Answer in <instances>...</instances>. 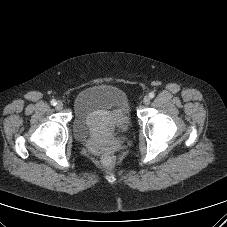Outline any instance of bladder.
I'll return each mask as SVG.
<instances>
[{
	"instance_id": "bladder-1",
	"label": "bladder",
	"mask_w": 227,
	"mask_h": 227,
	"mask_svg": "<svg viewBox=\"0 0 227 227\" xmlns=\"http://www.w3.org/2000/svg\"><path fill=\"white\" fill-rule=\"evenodd\" d=\"M109 119H116L114 132L130 131L132 120L126 94L111 85H96L80 91L74 100L73 134L84 140L103 131Z\"/></svg>"
}]
</instances>
